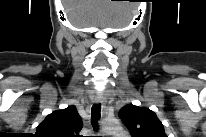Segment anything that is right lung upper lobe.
I'll use <instances>...</instances> for the list:
<instances>
[{
    "label": "right lung upper lobe",
    "instance_id": "obj_1",
    "mask_svg": "<svg viewBox=\"0 0 206 137\" xmlns=\"http://www.w3.org/2000/svg\"><path fill=\"white\" fill-rule=\"evenodd\" d=\"M82 129V118L74 106L47 115L38 125L37 137H77Z\"/></svg>",
    "mask_w": 206,
    "mask_h": 137
}]
</instances>
